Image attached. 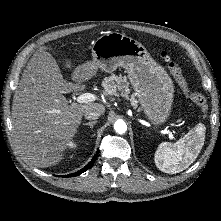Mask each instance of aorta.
Returning <instances> with one entry per match:
<instances>
[{
    "label": "aorta",
    "instance_id": "obj_1",
    "mask_svg": "<svg viewBox=\"0 0 221 221\" xmlns=\"http://www.w3.org/2000/svg\"><path fill=\"white\" fill-rule=\"evenodd\" d=\"M114 130L119 134H124L127 131V125L124 120L118 119L114 123Z\"/></svg>",
    "mask_w": 221,
    "mask_h": 221
}]
</instances>
